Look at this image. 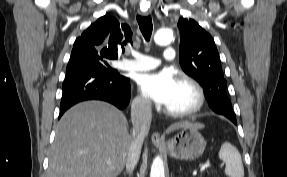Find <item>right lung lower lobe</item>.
Returning <instances> with one entry per match:
<instances>
[{
  "instance_id": "98d812e1",
  "label": "right lung lower lobe",
  "mask_w": 287,
  "mask_h": 177,
  "mask_svg": "<svg viewBox=\"0 0 287 177\" xmlns=\"http://www.w3.org/2000/svg\"><path fill=\"white\" fill-rule=\"evenodd\" d=\"M130 89L129 78L122 75L91 69L66 73L59 117L71 106L87 100H102L124 109L130 101Z\"/></svg>"
}]
</instances>
